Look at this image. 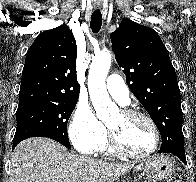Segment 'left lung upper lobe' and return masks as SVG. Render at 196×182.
I'll use <instances>...</instances> for the list:
<instances>
[{
	"label": "left lung upper lobe",
	"instance_id": "left-lung-upper-lobe-1",
	"mask_svg": "<svg viewBox=\"0 0 196 182\" xmlns=\"http://www.w3.org/2000/svg\"><path fill=\"white\" fill-rule=\"evenodd\" d=\"M110 38L129 89L159 129L160 151H184L180 90L175 69L159 35L125 18Z\"/></svg>",
	"mask_w": 196,
	"mask_h": 182
}]
</instances>
